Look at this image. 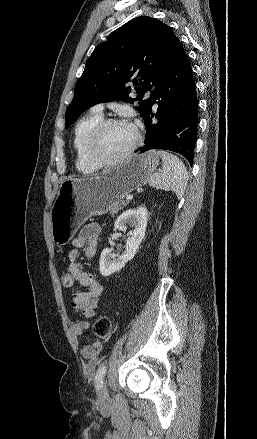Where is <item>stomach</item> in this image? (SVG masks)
Returning a JSON list of instances; mask_svg holds the SVG:
<instances>
[{
    "label": "stomach",
    "mask_w": 257,
    "mask_h": 439,
    "mask_svg": "<svg viewBox=\"0 0 257 439\" xmlns=\"http://www.w3.org/2000/svg\"><path fill=\"white\" fill-rule=\"evenodd\" d=\"M158 164L159 155L151 150L97 176L62 181L50 211L53 241L67 244L89 217L107 213L127 193L145 185Z\"/></svg>",
    "instance_id": "stomach-1"
}]
</instances>
